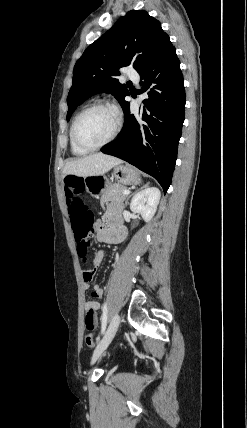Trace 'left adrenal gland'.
<instances>
[{
	"instance_id": "left-adrenal-gland-1",
	"label": "left adrenal gland",
	"mask_w": 247,
	"mask_h": 428,
	"mask_svg": "<svg viewBox=\"0 0 247 428\" xmlns=\"http://www.w3.org/2000/svg\"><path fill=\"white\" fill-rule=\"evenodd\" d=\"M148 185V184H147ZM132 196V194H130L127 198H126V200H125V205H127L128 204V199L130 198Z\"/></svg>"
}]
</instances>
